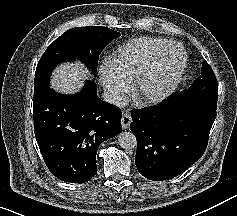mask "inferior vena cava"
I'll use <instances>...</instances> for the list:
<instances>
[{
	"mask_svg": "<svg viewBox=\"0 0 237 216\" xmlns=\"http://www.w3.org/2000/svg\"><path fill=\"white\" fill-rule=\"evenodd\" d=\"M101 97L103 101L118 106L120 108H124L128 104L127 99L114 90H104L101 94Z\"/></svg>",
	"mask_w": 237,
	"mask_h": 216,
	"instance_id": "inferior-vena-cava-1",
	"label": "inferior vena cava"
}]
</instances>
